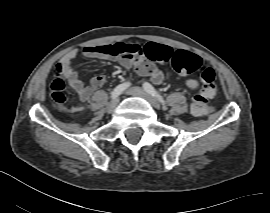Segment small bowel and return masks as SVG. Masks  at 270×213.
<instances>
[{
	"label": "small bowel",
	"instance_id": "1",
	"mask_svg": "<svg viewBox=\"0 0 270 213\" xmlns=\"http://www.w3.org/2000/svg\"><path fill=\"white\" fill-rule=\"evenodd\" d=\"M151 51L156 55L161 63H166L171 60L175 50L165 44L154 43L151 45ZM82 54L88 59H100L118 62L125 68H133L134 71L140 76L150 75L155 84H160L163 80L162 72L142 61H135L128 56L116 55L111 49L110 45H90L82 49ZM77 55L75 50L67 52L57 63L56 71L58 73L57 79L63 87L69 86L77 92L81 102H87L93 93L98 90L105 82L104 76H95L87 84L80 76L78 70L74 67L73 61ZM186 86L192 91H198L201 88V83L196 79H188ZM81 110V104H75L73 111L78 112Z\"/></svg>",
	"mask_w": 270,
	"mask_h": 213
}]
</instances>
